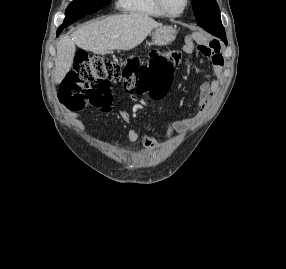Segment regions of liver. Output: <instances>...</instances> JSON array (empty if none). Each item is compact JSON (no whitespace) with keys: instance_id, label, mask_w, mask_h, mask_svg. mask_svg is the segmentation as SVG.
<instances>
[{"instance_id":"1","label":"liver","mask_w":286,"mask_h":269,"mask_svg":"<svg viewBox=\"0 0 286 269\" xmlns=\"http://www.w3.org/2000/svg\"><path fill=\"white\" fill-rule=\"evenodd\" d=\"M162 24L145 14L115 15L89 22L72 37L64 36L57 44L54 80L60 84L73 64L76 45L95 54L111 50H130L141 44L147 35Z\"/></svg>"}]
</instances>
